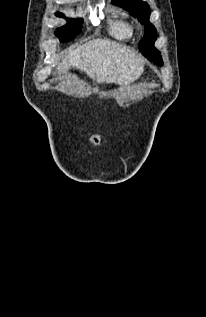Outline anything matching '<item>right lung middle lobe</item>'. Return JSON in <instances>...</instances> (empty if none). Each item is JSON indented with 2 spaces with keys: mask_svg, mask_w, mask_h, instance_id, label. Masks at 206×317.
Masks as SVG:
<instances>
[{
  "mask_svg": "<svg viewBox=\"0 0 206 317\" xmlns=\"http://www.w3.org/2000/svg\"><path fill=\"white\" fill-rule=\"evenodd\" d=\"M56 16L63 17L60 12L56 13ZM82 19H69L68 23L57 29L56 35L59 37L61 42H66L74 38V36L81 30Z\"/></svg>",
  "mask_w": 206,
  "mask_h": 317,
  "instance_id": "dd1d6c3e",
  "label": "right lung middle lobe"
}]
</instances>
